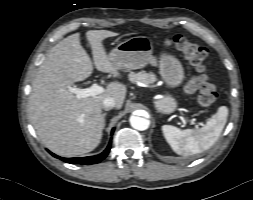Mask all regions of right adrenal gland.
<instances>
[{"label":"right adrenal gland","mask_w":253,"mask_h":200,"mask_svg":"<svg viewBox=\"0 0 253 200\" xmlns=\"http://www.w3.org/2000/svg\"><path fill=\"white\" fill-rule=\"evenodd\" d=\"M106 114H107V113H103V114H102V119H103V129H104V127H105V117H106Z\"/></svg>","instance_id":"1"}]
</instances>
